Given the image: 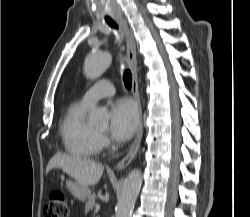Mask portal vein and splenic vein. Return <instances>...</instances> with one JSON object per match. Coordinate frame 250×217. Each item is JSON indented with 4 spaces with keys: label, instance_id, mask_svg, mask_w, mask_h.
Wrapping results in <instances>:
<instances>
[{
    "label": "portal vein and splenic vein",
    "instance_id": "18ae733b",
    "mask_svg": "<svg viewBox=\"0 0 250 217\" xmlns=\"http://www.w3.org/2000/svg\"><path fill=\"white\" fill-rule=\"evenodd\" d=\"M95 209H96V211H99L100 205H99V204H96V205H95Z\"/></svg>",
    "mask_w": 250,
    "mask_h": 217
}]
</instances>
